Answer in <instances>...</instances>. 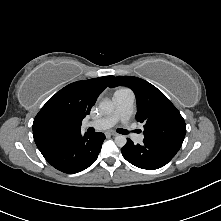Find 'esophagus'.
Returning <instances> with one entry per match:
<instances>
[{
  "mask_svg": "<svg viewBox=\"0 0 221 221\" xmlns=\"http://www.w3.org/2000/svg\"><path fill=\"white\" fill-rule=\"evenodd\" d=\"M107 135H110V136H117V133H115V132H107Z\"/></svg>",
  "mask_w": 221,
  "mask_h": 221,
  "instance_id": "1",
  "label": "esophagus"
}]
</instances>
